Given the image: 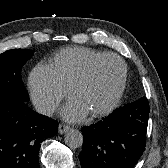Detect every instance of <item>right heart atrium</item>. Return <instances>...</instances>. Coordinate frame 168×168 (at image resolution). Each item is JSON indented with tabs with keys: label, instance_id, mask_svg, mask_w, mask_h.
Returning <instances> with one entry per match:
<instances>
[{
	"label": "right heart atrium",
	"instance_id": "1",
	"mask_svg": "<svg viewBox=\"0 0 168 168\" xmlns=\"http://www.w3.org/2000/svg\"><path fill=\"white\" fill-rule=\"evenodd\" d=\"M29 91L37 111L51 114L70 93L52 64H37L29 75Z\"/></svg>",
	"mask_w": 168,
	"mask_h": 168
}]
</instances>
